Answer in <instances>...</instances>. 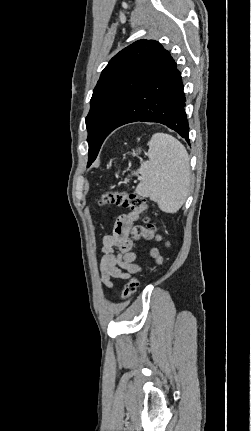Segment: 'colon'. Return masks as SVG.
Masks as SVG:
<instances>
[{
    "instance_id": "obj_1",
    "label": "colon",
    "mask_w": 251,
    "mask_h": 431,
    "mask_svg": "<svg viewBox=\"0 0 251 431\" xmlns=\"http://www.w3.org/2000/svg\"><path fill=\"white\" fill-rule=\"evenodd\" d=\"M99 203L102 205L114 204L124 208H129L136 213L143 214V219L147 225V230L152 234H156L159 231V227L151 221L148 215L145 214L148 210L147 201L143 197L135 193H127L123 191H108L102 194ZM139 284L140 283L138 277H132L125 284L121 296L122 299H130L136 292Z\"/></svg>"
}]
</instances>
